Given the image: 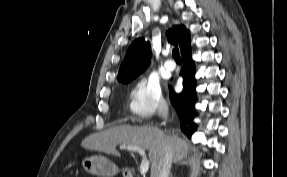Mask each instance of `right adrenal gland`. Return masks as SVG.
<instances>
[{
	"mask_svg": "<svg viewBox=\"0 0 287 177\" xmlns=\"http://www.w3.org/2000/svg\"><path fill=\"white\" fill-rule=\"evenodd\" d=\"M170 177H172V173H170Z\"/></svg>",
	"mask_w": 287,
	"mask_h": 177,
	"instance_id": "2a0ac1e0",
	"label": "right adrenal gland"
}]
</instances>
